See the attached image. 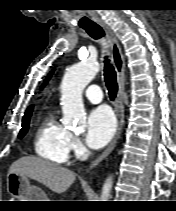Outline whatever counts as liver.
Returning a JSON list of instances; mask_svg holds the SVG:
<instances>
[{"label": "liver", "mask_w": 176, "mask_h": 211, "mask_svg": "<svg viewBox=\"0 0 176 211\" xmlns=\"http://www.w3.org/2000/svg\"><path fill=\"white\" fill-rule=\"evenodd\" d=\"M9 173L32 178L56 193L65 192L75 181L71 170L32 156L16 160L10 166Z\"/></svg>", "instance_id": "obj_1"}]
</instances>
